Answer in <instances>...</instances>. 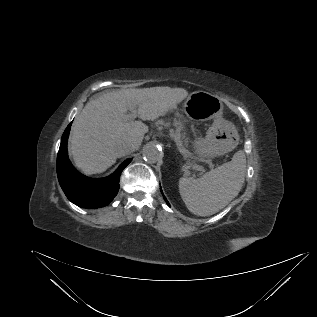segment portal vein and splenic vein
<instances>
[{"label": "portal vein and splenic vein", "instance_id": "1", "mask_svg": "<svg viewBox=\"0 0 317 317\" xmlns=\"http://www.w3.org/2000/svg\"><path fill=\"white\" fill-rule=\"evenodd\" d=\"M133 113H135V111H133ZM132 116H133L132 114H128L127 118L130 119V118H132Z\"/></svg>", "mask_w": 317, "mask_h": 317}]
</instances>
